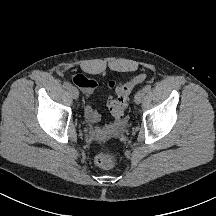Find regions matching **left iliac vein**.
Masks as SVG:
<instances>
[{
    "label": "left iliac vein",
    "mask_w": 216,
    "mask_h": 216,
    "mask_svg": "<svg viewBox=\"0 0 216 216\" xmlns=\"http://www.w3.org/2000/svg\"><path fill=\"white\" fill-rule=\"evenodd\" d=\"M144 96H145V91L143 89L139 90L135 95V103L140 104L142 102Z\"/></svg>",
    "instance_id": "4c4485c4"
}]
</instances>
